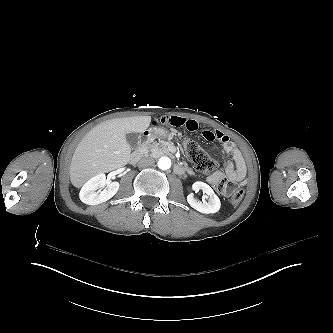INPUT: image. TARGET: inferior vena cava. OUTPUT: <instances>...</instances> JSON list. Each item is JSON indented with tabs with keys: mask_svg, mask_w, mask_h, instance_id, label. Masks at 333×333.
Masks as SVG:
<instances>
[{
	"mask_svg": "<svg viewBox=\"0 0 333 333\" xmlns=\"http://www.w3.org/2000/svg\"><path fill=\"white\" fill-rule=\"evenodd\" d=\"M154 164L155 160L152 157H143L138 162L139 167H148V166H153Z\"/></svg>",
	"mask_w": 333,
	"mask_h": 333,
	"instance_id": "inferior-vena-cava-1",
	"label": "inferior vena cava"
}]
</instances>
